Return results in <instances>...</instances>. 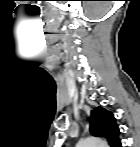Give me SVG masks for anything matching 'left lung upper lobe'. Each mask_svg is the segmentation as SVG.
<instances>
[{"mask_svg":"<svg viewBox=\"0 0 140 147\" xmlns=\"http://www.w3.org/2000/svg\"><path fill=\"white\" fill-rule=\"evenodd\" d=\"M90 132L94 136L105 137L112 147H121L119 128L114 115L102 107L91 111Z\"/></svg>","mask_w":140,"mask_h":147,"instance_id":"1","label":"left lung upper lobe"}]
</instances>
